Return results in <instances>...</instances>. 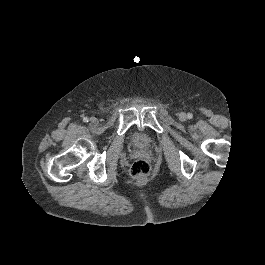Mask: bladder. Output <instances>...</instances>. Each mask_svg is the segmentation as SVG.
<instances>
[{
    "instance_id": "1",
    "label": "bladder",
    "mask_w": 265,
    "mask_h": 265,
    "mask_svg": "<svg viewBox=\"0 0 265 265\" xmlns=\"http://www.w3.org/2000/svg\"><path fill=\"white\" fill-rule=\"evenodd\" d=\"M143 142H144L143 139H139V145H140V146H143V145H144Z\"/></svg>"
}]
</instances>
